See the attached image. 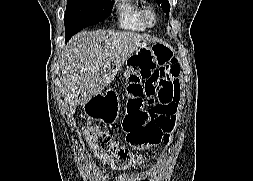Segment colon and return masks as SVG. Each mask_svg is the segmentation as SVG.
<instances>
[{"instance_id":"1","label":"colon","mask_w":253,"mask_h":181,"mask_svg":"<svg viewBox=\"0 0 253 181\" xmlns=\"http://www.w3.org/2000/svg\"><path fill=\"white\" fill-rule=\"evenodd\" d=\"M151 48H139V53H148L158 64L175 68L173 56L165 44L156 41ZM124 95L126 102L122 129L128 143L137 148H146L167 142L175 121L167 108L168 98L159 93H146L141 84V76L133 68L127 71ZM85 137L106 165L122 169L131 164L128 149L106 132L87 127Z\"/></svg>"}]
</instances>
